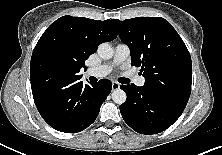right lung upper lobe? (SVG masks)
I'll use <instances>...</instances> for the list:
<instances>
[{
  "label": "right lung upper lobe",
  "instance_id": "obj_1",
  "mask_svg": "<svg viewBox=\"0 0 222 155\" xmlns=\"http://www.w3.org/2000/svg\"><path fill=\"white\" fill-rule=\"evenodd\" d=\"M117 37L113 20H93L63 16L42 34L31 57L30 80L33 90L79 79L80 69L103 42Z\"/></svg>",
  "mask_w": 222,
  "mask_h": 155
}]
</instances>
